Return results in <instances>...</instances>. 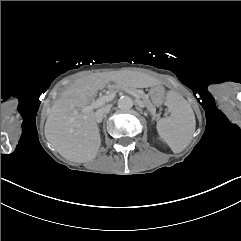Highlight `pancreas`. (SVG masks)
Listing matches in <instances>:
<instances>
[{"instance_id":"pancreas-1","label":"pancreas","mask_w":241,"mask_h":241,"mask_svg":"<svg viewBox=\"0 0 241 241\" xmlns=\"http://www.w3.org/2000/svg\"><path fill=\"white\" fill-rule=\"evenodd\" d=\"M111 87L119 88L121 90H126L128 88L127 85H121V84L120 85H116L115 84V85L110 86L111 92H117V90H113V89H111ZM128 89L131 90L132 92H136L137 96H141L142 97V102H145V106H148L149 113H154V108H153V106H150V100H148V97H145V95H143L142 93L133 90V88H128Z\"/></svg>"}]
</instances>
